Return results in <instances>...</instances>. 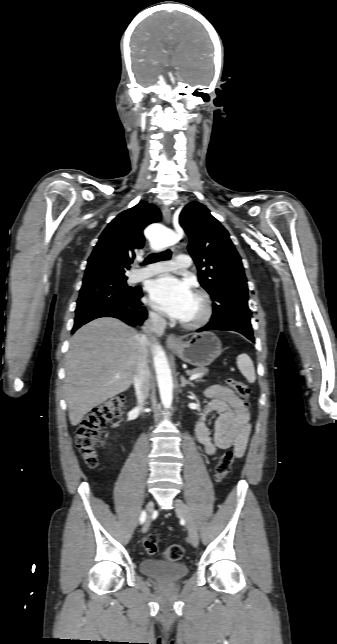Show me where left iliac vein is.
<instances>
[{
  "label": "left iliac vein",
  "instance_id": "obj_1",
  "mask_svg": "<svg viewBox=\"0 0 337 644\" xmlns=\"http://www.w3.org/2000/svg\"><path fill=\"white\" fill-rule=\"evenodd\" d=\"M174 505H175L176 513L180 517H182L186 522V527L188 529V540H189V542L193 546L196 547L198 545L199 536H198V531H197L196 524H195V522L193 520V517H192L190 511H189V508L187 507V505L181 499H178V498H176L174 500Z\"/></svg>",
  "mask_w": 337,
  "mask_h": 644
}]
</instances>
